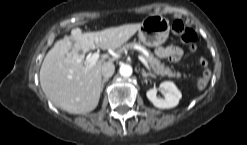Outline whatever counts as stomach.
<instances>
[{
	"label": "stomach",
	"mask_w": 247,
	"mask_h": 145,
	"mask_svg": "<svg viewBox=\"0 0 247 145\" xmlns=\"http://www.w3.org/2000/svg\"><path fill=\"white\" fill-rule=\"evenodd\" d=\"M169 31L168 19L162 15H150L142 21L138 30V37L144 45L155 47L167 40Z\"/></svg>",
	"instance_id": "stomach-1"
}]
</instances>
